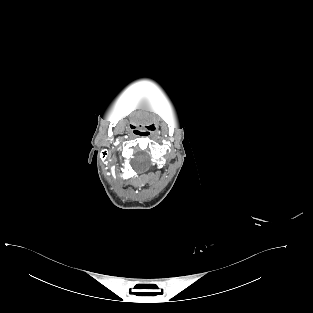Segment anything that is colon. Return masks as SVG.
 I'll return each mask as SVG.
<instances>
[{"mask_svg": "<svg viewBox=\"0 0 313 313\" xmlns=\"http://www.w3.org/2000/svg\"><path fill=\"white\" fill-rule=\"evenodd\" d=\"M234 231H235V227L232 228L231 233H233ZM235 238H236V236H234V237L231 236L230 237V239H235Z\"/></svg>", "mask_w": 313, "mask_h": 313, "instance_id": "1", "label": "colon"}]
</instances>
